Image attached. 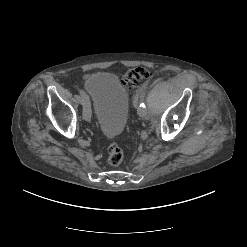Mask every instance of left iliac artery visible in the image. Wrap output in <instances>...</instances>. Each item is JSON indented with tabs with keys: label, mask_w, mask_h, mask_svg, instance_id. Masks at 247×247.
<instances>
[{
	"label": "left iliac artery",
	"mask_w": 247,
	"mask_h": 247,
	"mask_svg": "<svg viewBox=\"0 0 247 247\" xmlns=\"http://www.w3.org/2000/svg\"><path fill=\"white\" fill-rule=\"evenodd\" d=\"M147 89V85H144L142 87V91L140 92V98H141V101H140V105H139V109L142 110V109H145L146 108V105L144 103V97H145V90Z\"/></svg>",
	"instance_id": "44dca946"
}]
</instances>
